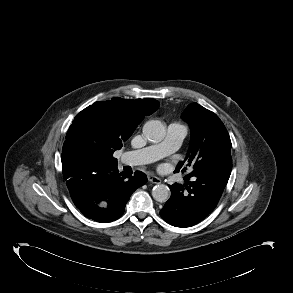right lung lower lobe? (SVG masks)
I'll return each mask as SVG.
<instances>
[{"mask_svg": "<svg viewBox=\"0 0 293 293\" xmlns=\"http://www.w3.org/2000/svg\"><path fill=\"white\" fill-rule=\"evenodd\" d=\"M146 182V175L140 171L132 176L119 173L117 165H95L68 189L74 204L86 217L105 223L118 219L131 194Z\"/></svg>", "mask_w": 293, "mask_h": 293, "instance_id": "obj_1", "label": "right lung lower lobe"}]
</instances>
